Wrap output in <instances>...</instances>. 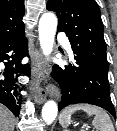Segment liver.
Listing matches in <instances>:
<instances>
[{"label": "liver", "instance_id": "obj_1", "mask_svg": "<svg viewBox=\"0 0 117 131\" xmlns=\"http://www.w3.org/2000/svg\"><path fill=\"white\" fill-rule=\"evenodd\" d=\"M14 122L13 114L0 104V131H13Z\"/></svg>", "mask_w": 117, "mask_h": 131}]
</instances>
